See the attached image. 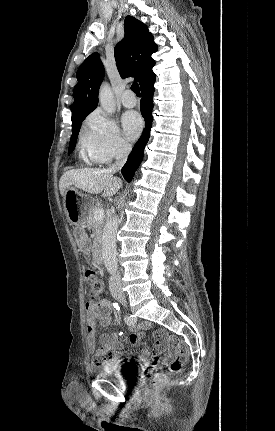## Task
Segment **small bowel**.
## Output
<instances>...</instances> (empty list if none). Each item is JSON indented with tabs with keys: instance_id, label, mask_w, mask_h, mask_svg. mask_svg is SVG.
<instances>
[{
	"instance_id": "1",
	"label": "small bowel",
	"mask_w": 275,
	"mask_h": 431,
	"mask_svg": "<svg viewBox=\"0 0 275 431\" xmlns=\"http://www.w3.org/2000/svg\"><path fill=\"white\" fill-rule=\"evenodd\" d=\"M75 239L81 251L89 250V240L87 235L82 231L75 232ZM86 343L91 354L94 355L96 365H107L116 363L121 360L122 342L116 334H102L99 337L100 344L97 345V327L99 325L107 326L111 322L112 305L108 299L99 301H91L86 303ZM150 328L148 322H142L137 325L139 330H147ZM165 342L160 339L157 342L156 349L151 353L149 350L143 351L140 355V360L147 362H157L167 364L174 354L178 352V348L169 344L170 351L162 359L159 354L163 351Z\"/></svg>"
}]
</instances>
